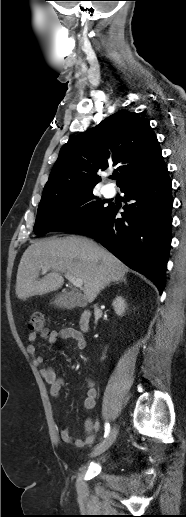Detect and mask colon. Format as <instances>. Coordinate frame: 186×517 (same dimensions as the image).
Returning a JSON list of instances; mask_svg holds the SVG:
<instances>
[{
  "label": "colon",
  "instance_id": "1",
  "mask_svg": "<svg viewBox=\"0 0 186 517\" xmlns=\"http://www.w3.org/2000/svg\"><path fill=\"white\" fill-rule=\"evenodd\" d=\"M29 329L33 334L47 336L48 330L42 313L34 312L29 321Z\"/></svg>",
  "mask_w": 186,
  "mask_h": 517
}]
</instances>
